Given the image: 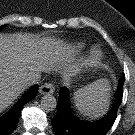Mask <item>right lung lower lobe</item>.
I'll use <instances>...</instances> for the list:
<instances>
[{"mask_svg":"<svg viewBox=\"0 0 135 135\" xmlns=\"http://www.w3.org/2000/svg\"><path fill=\"white\" fill-rule=\"evenodd\" d=\"M38 85L26 91L17 103L2 117H0V135H10L19 120L22 107L37 94Z\"/></svg>","mask_w":135,"mask_h":135,"instance_id":"98d812e1","label":"right lung lower lobe"}]
</instances>
